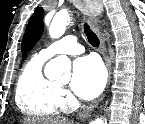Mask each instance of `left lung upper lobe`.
Masks as SVG:
<instances>
[{
  "instance_id": "5c2ea615",
  "label": "left lung upper lobe",
  "mask_w": 145,
  "mask_h": 124,
  "mask_svg": "<svg viewBox=\"0 0 145 124\" xmlns=\"http://www.w3.org/2000/svg\"><path fill=\"white\" fill-rule=\"evenodd\" d=\"M43 16H44L43 8L38 7L35 10L32 17L30 18L26 28V32L22 40L23 55L26 54L40 39L44 30Z\"/></svg>"
}]
</instances>
